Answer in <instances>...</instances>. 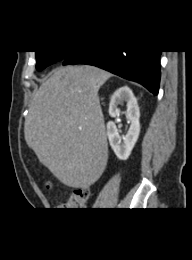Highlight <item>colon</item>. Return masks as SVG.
I'll list each match as a JSON object with an SVG mask.
<instances>
[{"label": "colon", "instance_id": "5ec220e1", "mask_svg": "<svg viewBox=\"0 0 192 260\" xmlns=\"http://www.w3.org/2000/svg\"><path fill=\"white\" fill-rule=\"evenodd\" d=\"M48 187H50V184H48ZM89 196L90 193L87 189H77L66 202L60 205V209L76 210L83 208L87 204Z\"/></svg>", "mask_w": 192, "mask_h": 260}]
</instances>
